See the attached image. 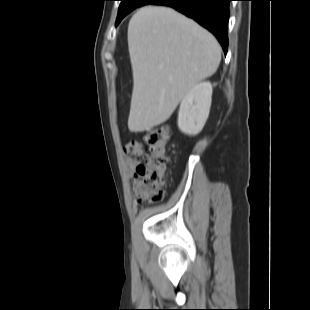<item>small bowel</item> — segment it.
<instances>
[{"instance_id": "obj_1", "label": "small bowel", "mask_w": 310, "mask_h": 310, "mask_svg": "<svg viewBox=\"0 0 310 310\" xmlns=\"http://www.w3.org/2000/svg\"><path fill=\"white\" fill-rule=\"evenodd\" d=\"M122 152L126 170L132 175L142 163L144 146L136 140H131L123 146Z\"/></svg>"}]
</instances>
